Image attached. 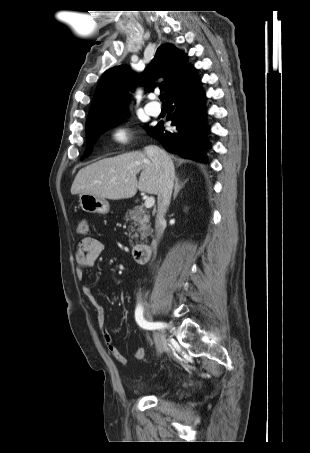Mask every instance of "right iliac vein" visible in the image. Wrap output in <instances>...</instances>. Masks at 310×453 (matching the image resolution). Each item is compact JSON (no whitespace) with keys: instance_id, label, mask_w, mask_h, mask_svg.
Returning a JSON list of instances; mask_svg holds the SVG:
<instances>
[{"instance_id":"1","label":"right iliac vein","mask_w":310,"mask_h":453,"mask_svg":"<svg viewBox=\"0 0 310 453\" xmlns=\"http://www.w3.org/2000/svg\"><path fill=\"white\" fill-rule=\"evenodd\" d=\"M147 316L150 320L154 317V309L151 301L147 303ZM154 341L157 347L158 354H162L166 349V341L162 331H156L153 334Z\"/></svg>"}]
</instances>
